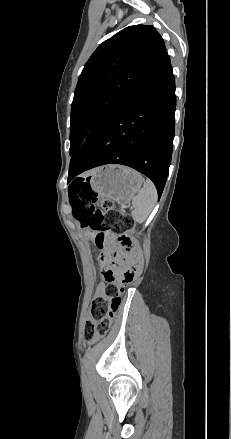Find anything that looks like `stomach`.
<instances>
[{
	"label": "stomach",
	"mask_w": 231,
	"mask_h": 439,
	"mask_svg": "<svg viewBox=\"0 0 231 439\" xmlns=\"http://www.w3.org/2000/svg\"><path fill=\"white\" fill-rule=\"evenodd\" d=\"M85 183L100 199L112 200L119 205H127L140 190L142 176L128 167L108 165L93 171Z\"/></svg>",
	"instance_id": "stomach-1"
}]
</instances>
